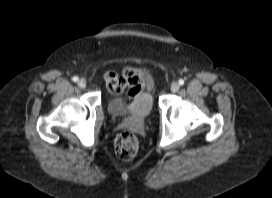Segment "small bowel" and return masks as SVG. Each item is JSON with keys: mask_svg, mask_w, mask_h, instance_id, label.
<instances>
[{"mask_svg": "<svg viewBox=\"0 0 272 198\" xmlns=\"http://www.w3.org/2000/svg\"><path fill=\"white\" fill-rule=\"evenodd\" d=\"M150 85V78L148 73L137 67H124L122 69L121 77L114 73L107 75V86L109 91L115 94H120L127 90L125 98L135 99L143 95L145 89Z\"/></svg>", "mask_w": 272, "mask_h": 198, "instance_id": "obj_1", "label": "small bowel"}]
</instances>
